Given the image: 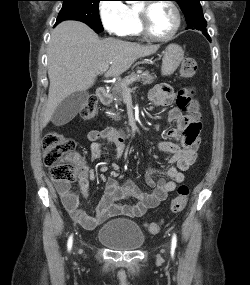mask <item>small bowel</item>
Segmentation results:
<instances>
[{
    "label": "small bowel",
    "mask_w": 250,
    "mask_h": 285,
    "mask_svg": "<svg viewBox=\"0 0 250 285\" xmlns=\"http://www.w3.org/2000/svg\"><path fill=\"white\" fill-rule=\"evenodd\" d=\"M148 98L158 107L170 106L174 101L177 102V106L172 108L167 116L168 121L176 123V126L167 132L168 136L175 139L176 142L161 141L158 144L160 151L171 155L170 166L167 170L170 180H156L154 176L158 171L152 169L146 177V183L151 191L144 192L130 180L119 184L113 177L101 174L100 179L105 183V190L94 216L87 214L80 208L79 198L70 189L68 183L57 182L56 189L65 209L72 219L85 229L92 230L104 221L117 216L142 217L147 210L164 201L168 193L174 191L177 184L185 180L184 172L196 159L199 145L198 134L201 127L198 122H193L185 114L182 94L177 95L170 86L159 84L150 90ZM87 139L90 142V157L94 161L102 157L106 143L115 145L116 158L122 157L125 153L126 133L123 130L114 127H106L101 130L94 129L87 133ZM75 158L80 193L82 197L86 198L90 180L89 168L77 154H75ZM102 169L103 172L107 170L106 167ZM126 197H133L136 202L132 205L120 203Z\"/></svg>",
    "instance_id": "1"
}]
</instances>
